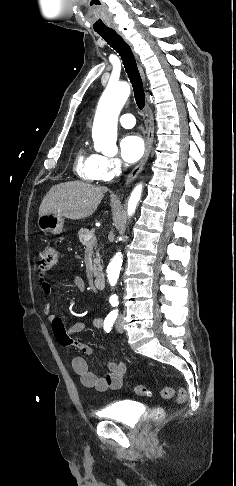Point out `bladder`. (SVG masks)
<instances>
[{"mask_svg":"<svg viewBox=\"0 0 236 486\" xmlns=\"http://www.w3.org/2000/svg\"><path fill=\"white\" fill-rule=\"evenodd\" d=\"M138 413L139 405L137 403L122 401L106 406L99 411V416L130 425L135 422Z\"/></svg>","mask_w":236,"mask_h":486,"instance_id":"1","label":"bladder"}]
</instances>
